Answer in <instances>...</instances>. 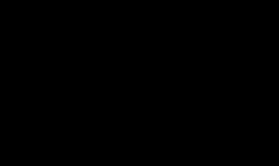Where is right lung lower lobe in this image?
Instances as JSON below:
<instances>
[{
  "instance_id": "obj_1",
  "label": "right lung lower lobe",
  "mask_w": 279,
  "mask_h": 166,
  "mask_svg": "<svg viewBox=\"0 0 279 166\" xmlns=\"http://www.w3.org/2000/svg\"><path fill=\"white\" fill-rule=\"evenodd\" d=\"M138 19L71 24L46 44L39 59L42 101L71 137L97 142L117 128L129 98L145 82L141 56L165 35ZM134 62L132 67L126 63Z\"/></svg>"
}]
</instances>
